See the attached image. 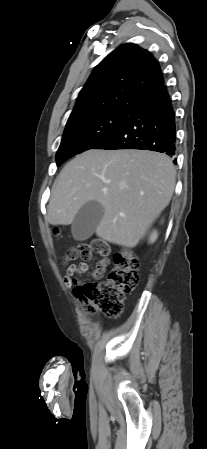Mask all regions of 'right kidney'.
I'll use <instances>...</instances> for the list:
<instances>
[{
	"instance_id": "obj_1",
	"label": "right kidney",
	"mask_w": 207,
	"mask_h": 449,
	"mask_svg": "<svg viewBox=\"0 0 207 449\" xmlns=\"http://www.w3.org/2000/svg\"><path fill=\"white\" fill-rule=\"evenodd\" d=\"M156 238H157V233L154 232V233L152 234L151 238H150V241H151V242H154V241L156 240Z\"/></svg>"
}]
</instances>
